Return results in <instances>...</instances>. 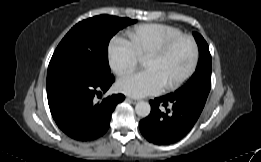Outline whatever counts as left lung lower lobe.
<instances>
[{
	"mask_svg": "<svg viewBox=\"0 0 261 162\" xmlns=\"http://www.w3.org/2000/svg\"><path fill=\"white\" fill-rule=\"evenodd\" d=\"M208 94V90L200 87L180 88L151 100L149 116L139 123L142 135L157 145L179 141L197 122ZM168 105H171L170 109Z\"/></svg>",
	"mask_w": 261,
	"mask_h": 162,
	"instance_id": "1",
	"label": "left lung lower lobe"
}]
</instances>
